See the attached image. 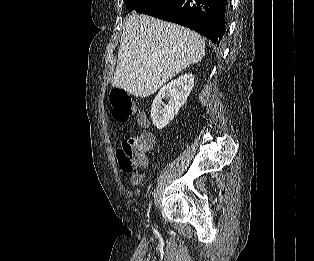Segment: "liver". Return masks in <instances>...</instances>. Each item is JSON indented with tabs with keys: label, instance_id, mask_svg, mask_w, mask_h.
<instances>
[{
	"label": "liver",
	"instance_id": "6515ba94",
	"mask_svg": "<svg viewBox=\"0 0 314 261\" xmlns=\"http://www.w3.org/2000/svg\"><path fill=\"white\" fill-rule=\"evenodd\" d=\"M204 53L205 41L197 33L133 12L125 18L112 85L148 97Z\"/></svg>",
	"mask_w": 314,
	"mask_h": 261
}]
</instances>
